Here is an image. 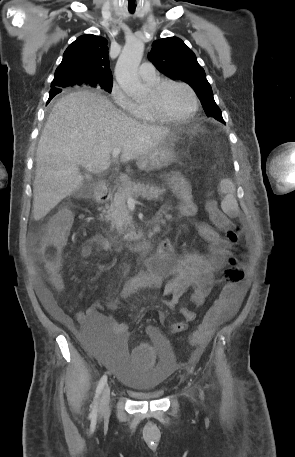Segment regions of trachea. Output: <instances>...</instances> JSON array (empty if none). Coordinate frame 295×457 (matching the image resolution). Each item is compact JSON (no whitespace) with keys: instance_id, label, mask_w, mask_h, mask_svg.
<instances>
[{"instance_id":"1","label":"trachea","mask_w":295,"mask_h":457,"mask_svg":"<svg viewBox=\"0 0 295 457\" xmlns=\"http://www.w3.org/2000/svg\"><path fill=\"white\" fill-rule=\"evenodd\" d=\"M136 6L135 5H129L128 10L133 13L135 11Z\"/></svg>"}]
</instances>
